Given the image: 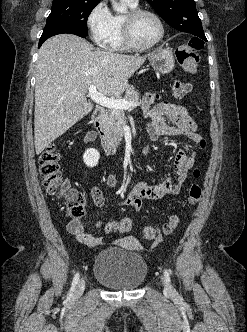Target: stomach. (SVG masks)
<instances>
[{"label":"stomach","mask_w":247,"mask_h":332,"mask_svg":"<svg viewBox=\"0 0 247 332\" xmlns=\"http://www.w3.org/2000/svg\"><path fill=\"white\" fill-rule=\"evenodd\" d=\"M151 66L155 71L170 73L175 65L173 53L169 49H159L150 55Z\"/></svg>","instance_id":"1"}]
</instances>
